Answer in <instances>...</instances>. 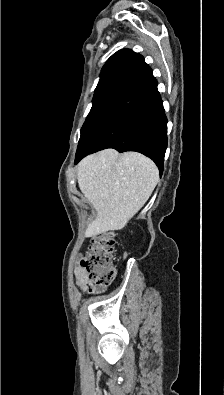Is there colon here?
<instances>
[{
    "mask_svg": "<svg viewBox=\"0 0 224 395\" xmlns=\"http://www.w3.org/2000/svg\"><path fill=\"white\" fill-rule=\"evenodd\" d=\"M116 237L114 231H106L93 236L81 260V266L88 278L97 284H107L115 278L116 270L112 258Z\"/></svg>",
    "mask_w": 224,
    "mask_h": 395,
    "instance_id": "1",
    "label": "colon"
}]
</instances>
